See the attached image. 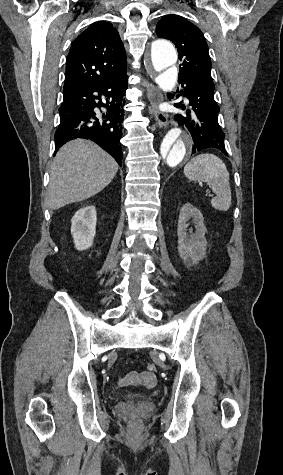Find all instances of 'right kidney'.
I'll return each instance as SVG.
<instances>
[{
  "label": "right kidney",
  "instance_id": "ca27d5eb",
  "mask_svg": "<svg viewBox=\"0 0 283 475\" xmlns=\"http://www.w3.org/2000/svg\"><path fill=\"white\" fill-rule=\"evenodd\" d=\"M95 206H86L75 212L71 220V234L76 249H88L93 243L96 234Z\"/></svg>",
  "mask_w": 283,
  "mask_h": 475
}]
</instances>
